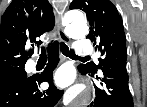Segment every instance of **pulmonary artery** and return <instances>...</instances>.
<instances>
[{
	"mask_svg": "<svg viewBox=\"0 0 147 107\" xmlns=\"http://www.w3.org/2000/svg\"><path fill=\"white\" fill-rule=\"evenodd\" d=\"M92 46L89 42L84 40H77L74 44V52L78 55H90L92 53ZM29 67H33V63L29 64Z\"/></svg>",
	"mask_w": 147,
	"mask_h": 107,
	"instance_id": "e3ab8cb5",
	"label": "pulmonary artery"
}]
</instances>
